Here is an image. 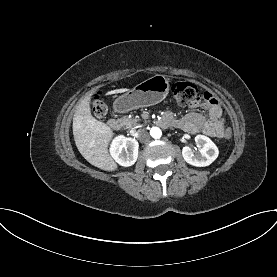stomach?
<instances>
[{
  "label": "stomach",
  "mask_w": 277,
  "mask_h": 277,
  "mask_svg": "<svg viewBox=\"0 0 277 277\" xmlns=\"http://www.w3.org/2000/svg\"><path fill=\"white\" fill-rule=\"evenodd\" d=\"M169 87L168 78L160 74L154 75L117 98L114 102V109L124 113L133 109L155 105L165 99Z\"/></svg>",
  "instance_id": "obj_1"
}]
</instances>
